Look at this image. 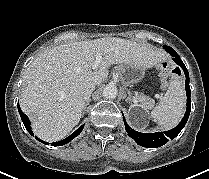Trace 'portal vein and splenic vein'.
Here are the masks:
<instances>
[{"instance_id":"portal-vein-and-splenic-vein-1","label":"portal vein and splenic vein","mask_w":209,"mask_h":179,"mask_svg":"<svg viewBox=\"0 0 209 179\" xmlns=\"http://www.w3.org/2000/svg\"><path fill=\"white\" fill-rule=\"evenodd\" d=\"M101 61H102V55L101 54H97L96 59H95V61L93 63V68H97L100 65Z\"/></svg>"}]
</instances>
